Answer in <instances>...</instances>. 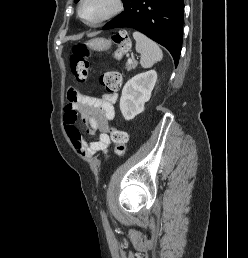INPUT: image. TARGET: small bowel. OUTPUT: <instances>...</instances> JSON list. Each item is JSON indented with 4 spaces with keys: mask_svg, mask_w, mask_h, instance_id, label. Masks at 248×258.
Returning a JSON list of instances; mask_svg holds the SVG:
<instances>
[{
    "mask_svg": "<svg viewBox=\"0 0 248 258\" xmlns=\"http://www.w3.org/2000/svg\"><path fill=\"white\" fill-rule=\"evenodd\" d=\"M115 74L120 78L119 73ZM67 98L64 126L75 151L84 159H89L97 153H106L111 142L108 134L109 121L115 117L114 103L117 94L108 93L97 98L70 89ZM78 115L86 125L87 134L93 138L89 142L83 138L77 126Z\"/></svg>",
    "mask_w": 248,
    "mask_h": 258,
    "instance_id": "1",
    "label": "small bowel"
}]
</instances>
